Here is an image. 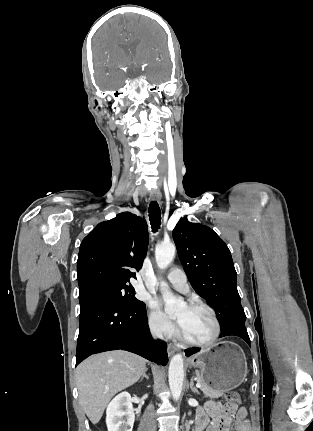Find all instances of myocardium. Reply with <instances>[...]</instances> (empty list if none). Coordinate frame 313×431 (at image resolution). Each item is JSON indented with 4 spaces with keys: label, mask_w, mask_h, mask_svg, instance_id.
<instances>
[{
    "label": "myocardium",
    "mask_w": 313,
    "mask_h": 431,
    "mask_svg": "<svg viewBox=\"0 0 313 431\" xmlns=\"http://www.w3.org/2000/svg\"><path fill=\"white\" fill-rule=\"evenodd\" d=\"M186 306L188 308H191V309L200 308V309L207 311L210 314V316L212 317V320L214 322L215 332H214L213 337L210 340H208L206 342H195V341L188 339L182 333V331L180 330V328L178 326V328H177L178 339L182 343L189 345V346H192V347L206 348V347H210V346L214 345L221 335V323L219 321V318H218L216 312L210 306H208L207 304H204L202 302L190 301L186 304Z\"/></svg>",
    "instance_id": "myocardium-1"
}]
</instances>
